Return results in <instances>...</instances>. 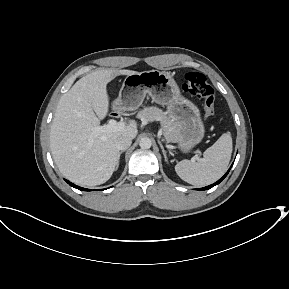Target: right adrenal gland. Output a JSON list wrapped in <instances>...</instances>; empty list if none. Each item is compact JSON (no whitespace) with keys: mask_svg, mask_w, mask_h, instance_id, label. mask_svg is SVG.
<instances>
[{"mask_svg":"<svg viewBox=\"0 0 289 289\" xmlns=\"http://www.w3.org/2000/svg\"><path fill=\"white\" fill-rule=\"evenodd\" d=\"M123 152H125V150H121L120 152H118V162H117V165H116V169H115V170H117L118 167H119L120 156H121V154H122Z\"/></svg>","mask_w":289,"mask_h":289,"instance_id":"right-adrenal-gland-1","label":"right adrenal gland"}]
</instances>
